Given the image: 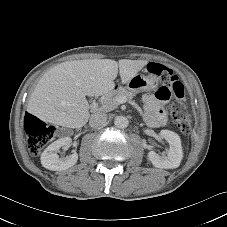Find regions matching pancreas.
<instances>
[{
  "label": "pancreas",
  "mask_w": 227,
  "mask_h": 227,
  "mask_svg": "<svg viewBox=\"0 0 227 227\" xmlns=\"http://www.w3.org/2000/svg\"><path fill=\"white\" fill-rule=\"evenodd\" d=\"M134 96L135 93L124 88L109 92L101 98V106L99 110L103 112L112 111L118 107L120 103L119 98L125 97L127 99H132Z\"/></svg>",
  "instance_id": "cf45deb5"
}]
</instances>
